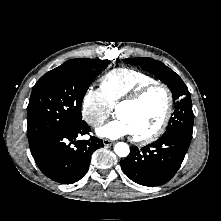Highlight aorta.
Returning a JSON list of instances; mask_svg holds the SVG:
<instances>
[{"label": "aorta", "instance_id": "762f6f07", "mask_svg": "<svg viewBox=\"0 0 221 221\" xmlns=\"http://www.w3.org/2000/svg\"><path fill=\"white\" fill-rule=\"evenodd\" d=\"M114 151L119 157H126V156H128L130 149H129L128 144H126L124 142H118L114 146Z\"/></svg>", "mask_w": 221, "mask_h": 221}]
</instances>
